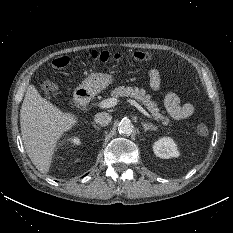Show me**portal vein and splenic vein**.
<instances>
[{"instance_id":"1","label":"portal vein and splenic vein","mask_w":233,"mask_h":233,"mask_svg":"<svg viewBox=\"0 0 233 233\" xmlns=\"http://www.w3.org/2000/svg\"><path fill=\"white\" fill-rule=\"evenodd\" d=\"M118 100L116 98H109L102 100L98 103V106L100 108H111L115 105H117ZM128 102L135 106L140 112H142L145 116L152 119V116L141 106L139 105L135 100H128Z\"/></svg>"}]
</instances>
